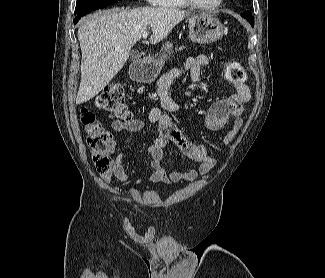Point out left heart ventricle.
<instances>
[{
    "label": "left heart ventricle",
    "instance_id": "1",
    "mask_svg": "<svg viewBox=\"0 0 325 278\" xmlns=\"http://www.w3.org/2000/svg\"><path fill=\"white\" fill-rule=\"evenodd\" d=\"M195 1L198 2V3H200V4L207 5V4H212V3H214L217 0H195Z\"/></svg>",
    "mask_w": 325,
    "mask_h": 278
}]
</instances>
